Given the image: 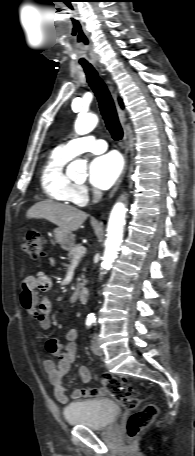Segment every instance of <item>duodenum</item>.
I'll list each match as a JSON object with an SVG mask.
<instances>
[{"mask_svg":"<svg viewBox=\"0 0 195 456\" xmlns=\"http://www.w3.org/2000/svg\"><path fill=\"white\" fill-rule=\"evenodd\" d=\"M78 298L82 303H86L89 298V291L87 288H81L78 293Z\"/></svg>","mask_w":195,"mask_h":456,"instance_id":"duodenum-1","label":"duodenum"}]
</instances>
